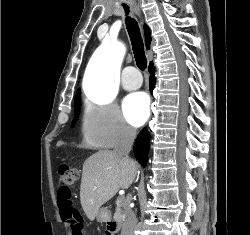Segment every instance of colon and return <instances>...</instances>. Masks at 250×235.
<instances>
[{
    "mask_svg": "<svg viewBox=\"0 0 250 235\" xmlns=\"http://www.w3.org/2000/svg\"><path fill=\"white\" fill-rule=\"evenodd\" d=\"M58 176L57 202L61 209V216L64 222L70 226L73 235H84L82 217L71 201L70 189L79 179L78 171L68 164H61L58 167Z\"/></svg>",
    "mask_w": 250,
    "mask_h": 235,
    "instance_id": "1",
    "label": "colon"
}]
</instances>
